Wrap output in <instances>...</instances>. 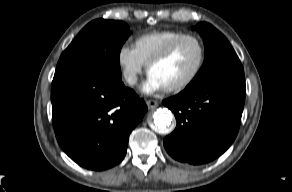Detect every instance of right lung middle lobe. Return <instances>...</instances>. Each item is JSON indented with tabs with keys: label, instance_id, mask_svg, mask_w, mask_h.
<instances>
[{
	"label": "right lung middle lobe",
	"instance_id": "1",
	"mask_svg": "<svg viewBox=\"0 0 292 192\" xmlns=\"http://www.w3.org/2000/svg\"><path fill=\"white\" fill-rule=\"evenodd\" d=\"M131 34L122 21L97 19L87 24L62 53L57 67L95 69L121 79L119 54Z\"/></svg>",
	"mask_w": 292,
	"mask_h": 192
}]
</instances>
